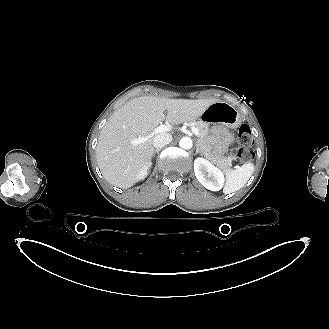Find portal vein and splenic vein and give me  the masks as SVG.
Masks as SVG:
<instances>
[{
    "instance_id": "obj_1",
    "label": "portal vein and splenic vein",
    "mask_w": 329,
    "mask_h": 329,
    "mask_svg": "<svg viewBox=\"0 0 329 329\" xmlns=\"http://www.w3.org/2000/svg\"><path fill=\"white\" fill-rule=\"evenodd\" d=\"M172 129L171 125H160L159 127L155 128L153 130V132H151L150 134L146 135V136H141L135 139L131 140V144L132 145H139V144H143L145 143L148 139H150L153 135H156L158 133H163V132H167L170 131ZM192 132L194 133V135L199 136V130L196 127H192Z\"/></svg>"
}]
</instances>
